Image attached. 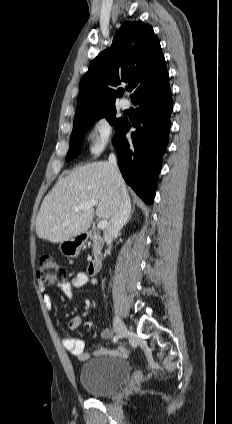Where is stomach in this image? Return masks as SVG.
I'll return each mask as SVG.
<instances>
[{
    "mask_svg": "<svg viewBox=\"0 0 232 424\" xmlns=\"http://www.w3.org/2000/svg\"><path fill=\"white\" fill-rule=\"evenodd\" d=\"M85 241L86 239L84 237L75 236L69 240L62 241L59 249L64 256L68 258H75L79 255Z\"/></svg>",
    "mask_w": 232,
    "mask_h": 424,
    "instance_id": "1",
    "label": "stomach"
}]
</instances>
